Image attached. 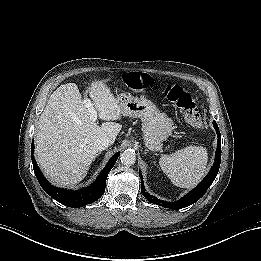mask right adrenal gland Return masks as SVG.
<instances>
[{
  "mask_svg": "<svg viewBox=\"0 0 261 261\" xmlns=\"http://www.w3.org/2000/svg\"><path fill=\"white\" fill-rule=\"evenodd\" d=\"M100 155V153H97L96 156Z\"/></svg>",
  "mask_w": 261,
  "mask_h": 261,
  "instance_id": "1",
  "label": "right adrenal gland"
}]
</instances>
